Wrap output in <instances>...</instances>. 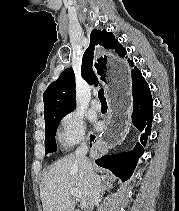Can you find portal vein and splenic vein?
Instances as JSON below:
<instances>
[{
	"label": "portal vein and splenic vein",
	"mask_w": 179,
	"mask_h": 211,
	"mask_svg": "<svg viewBox=\"0 0 179 211\" xmlns=\"http://www.w3.org/2000/svg\"><path fill=\"white\" fill-rule=\"evenodd\" d=\"M70 193L72 196L76 197V198H81L82 194L81 192H79L78 190L74 189V188H70Z\"/></svg>",
	"instance_id": "portal-vein-and-splenic-vein-1"
}]
</instances>
